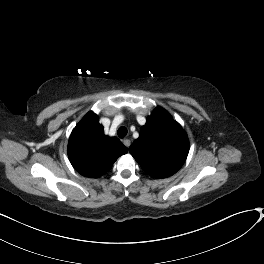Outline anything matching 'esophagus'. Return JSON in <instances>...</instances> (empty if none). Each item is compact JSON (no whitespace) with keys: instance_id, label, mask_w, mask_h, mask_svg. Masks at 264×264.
I'll return each mask as SVG.
<instances>
[{"instance_id":"esophagus-1","label":"esophagus","mask_w":264,"mask_h":264,"mask_svg":"<svg viewBox=\"0 0 264 264\" xmlns=\"http://www.w3.org/2000/svg\"><path fill=\"white\" fill-rule=\"evenodd\" d=\"M123 144L126 146V147H129L130 144H131V141L129 139H124L123 140Z\"/></svg>"}]
</instances>
